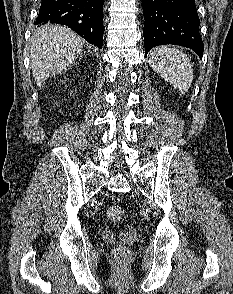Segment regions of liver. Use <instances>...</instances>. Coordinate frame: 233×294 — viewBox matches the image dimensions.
<instances>
[{
	"instance_id": "1",
	"label": "liver",
	"mask_w": 233,
	"mask_h": 294,
	"mask_svg": "<svg viewBox=\"0 0 233 294\" xmlns=\"http://www.w3.org/2000/svg\"><path fill=\"white\" fill-rule=\"evenodd\" d=\"M82 48V39L66 27L47 24L37 29L30 48V68L36 85L40 88L49 77L71 66Z\"/></svg>"
}]
</instances>
